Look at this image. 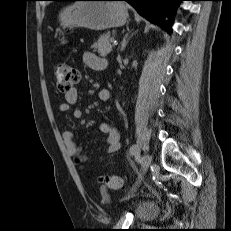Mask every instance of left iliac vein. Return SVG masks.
Returning a JSON list of instances; mask_svg holds the SVG:
<instances>
[{"instance_id": "obj_1", "label": "left iliac vein", "mask_w": 231, "mask_h": 231, "mask_svg": "<svg viewBox=\"0 0 231 231\" xmlns=\"http://www.w3.org/2000/svg\"><path fill=\"white\" fill-rule=\"evenodd\" d=\"M152 163V157L149 154H144L143 158H142V162H141V173L138 177V180L136 182V186L140 183L141 179L143 178L144 173L147 171V169L149 168V166ZM135 190V188H134Z\"/></svg>"}]
</instances>
